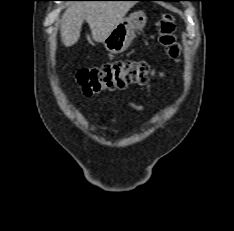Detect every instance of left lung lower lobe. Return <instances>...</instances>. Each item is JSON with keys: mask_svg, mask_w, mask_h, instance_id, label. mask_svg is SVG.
Listing matches in <instances>:
<instances>
[{"mask_svg": "<svg viewBox=\"0 0 234 231\" xmlns=\"http://www.w3.org/2000/svg\"><path fill=\"white\" fill-rule=\"evenodd\" d=\"M150 1V0H149ZM163 1H173V0H163ZM176 1V0H175Z\"/></svg>", "mask_w": 234, "mask_h": 231, "instance_id": "left-lung-lower-lobe-1", "label": "left lung lower lobe"}]
</instances>
